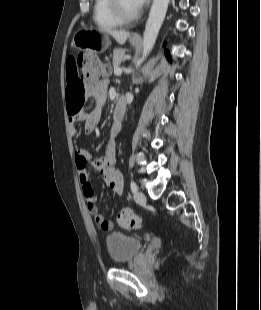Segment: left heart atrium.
Wrapping results in <instances>:
<instances>
[{
    "instance_id": "left-heart-atrium-1",
    "label": "left heart atrium",
    "mask_w": 261,
    "mask_h": 310,
    "mask_svg": "<svg viewBox=\"0 0 261 310\" xmlns=\"http://www.w3.org/2000/svg\"><path fill=\"white\" fill-rule=\"evenodd\" d=\"M147 0H133L134 5L136 6L137 9H140Z\"/></svg>"
}]
</instances>
